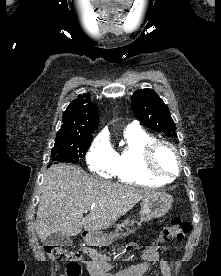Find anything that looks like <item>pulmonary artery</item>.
Returning <instances> with one entry per match:
<instances>
[{"instance_id":"pulmonary-artery-1","label":"pulmonary artery","mask_w":221,"mask_h":276,"mask_svg":"<svg viewBox=\"0 0 221 276\" xmlns=\"http://www.w3.org/2000/svg\"><path fill=\"white\" fill-rule=\"evenodd\" d=\"M130 126L132 127H137V125L135 123L131 124Z\"/></svg>"}]
</instances>
